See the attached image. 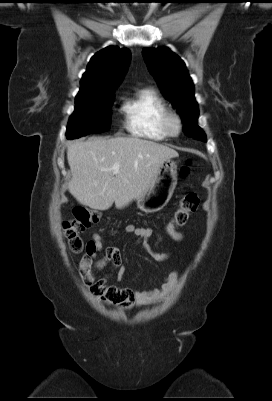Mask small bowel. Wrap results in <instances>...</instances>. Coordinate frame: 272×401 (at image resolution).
Returning a JSON list of instances; mask_svg holds the SVG:
<instances>
[{
    "label": "small bowel",
    "instance_id": "obj_1",
    "mask_svg": "<svg viewBox=\"0 0 272 401\" xmlns=\"http://www.w3.org/2000/svg\"><path fill=\"white\" fill-rule=\"evenodd\" d=\"M124 232L138 238L143 244L146 251L155 259L165 260L169 256L156 252L148 240L152 236L153 231L147 227H139L134 224H128L124 227ZM165 233L172 239L179 241L182 234L178 232L171 224L166 225ZM117 234V231L112 232ZM161 239L162 236L158 235ZM104 251V255L100 259H96L97 255ZM107 264H112L117 272L116 279L120 281L125 274V266L122 263L119 250L113 247L105 248L102 237L95 233L91 240L86 244V252L80 262L81 272L93 283L95 291L110 296L122 309H127L132 305L143 307L149 304L164 300L176 287L179 274L172 271L162 280L160 288L153 290H133L127 288H117L109 285L106 278H98L97 273Z\"/></svg>",
    "mask_w": 272,
    "mask_h": 401
}]
</instances>
